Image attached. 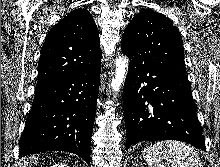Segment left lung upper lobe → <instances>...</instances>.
<instances>
[{"mask_svg": "<svg viewBox=\"0 0 220 167\" xmlns=\"http://www.w3.org/2000/svg\"><path fill=\"white\" fill-rule=\"evenodd\" d=\"M122 50L140 64L186 74L179 30L164 15L144 9L128 24Z\"/></svg>", "mask_w": 220, "mask_h": 167, "instance_id": "left-lung-upper-lobe-1", "label": "left lung upper lobe"}]
</instances>
